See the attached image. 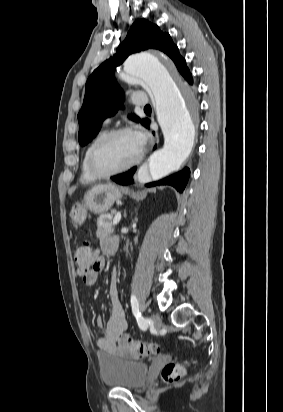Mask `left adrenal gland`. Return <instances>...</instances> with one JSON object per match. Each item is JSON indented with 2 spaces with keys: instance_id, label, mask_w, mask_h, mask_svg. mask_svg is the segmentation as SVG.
<instances>
[{
  "instance_id": "1",
  "label": "left adrenal gland",
  "mask_w": 283,
  "mask_h": 412,
  "mask_svg": "<svg viewBox=\"0 0 283 412\" xmlns=\"http://www.w3.org/2000/svg\"><path fill=\"white\" fill-rule=\"evenodd\" d=\"M124 217H125V218L127 217V214H126V212H124Z\"/></svg>"
}]
</instances>
